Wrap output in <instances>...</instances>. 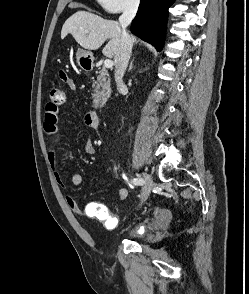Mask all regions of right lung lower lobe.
Wrapping results in <instances>:
<instances>
[{
    "mask_svg": "<svg viewBox=\"0 0 249 294\" xmlns=\"http://www.w3.org/2000/svg\"><path fill=\"white\" fill-rule=\"evenodd\" d=\"M175 0H141L131 32L161 50L166 30L168 9Z\"/></svg>",
    "mask_w": 249,
    "mask_h": 294,
    "instance_id": "98d812e1",
    "label": "right lung lower lobe"
}]
</instances>
